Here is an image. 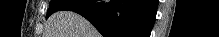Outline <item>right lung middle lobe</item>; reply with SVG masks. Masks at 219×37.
Returning a JSON list of instances; mask_svg holds the SVG:
<instances>
[{
    "mask_svg": "<svg viewBox=\"0 0 219 37\" xmlns=\"http://www.w3.org/2000/svg\"><path fill=\"white\" fill-rule=\"evenodd\" d=\"M68 2L69 1H67V0H52L50 2L49 8H48L47 17H49L51 14H53L57 11H60L62 6H64Z\"/></svg>",
    "mask_w": 219,
    "mask_h": 37,
    "instance_id": "dd1d6c3e",
    "label": "right lung middle lobe"
}]
</instances>
